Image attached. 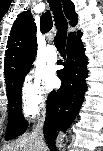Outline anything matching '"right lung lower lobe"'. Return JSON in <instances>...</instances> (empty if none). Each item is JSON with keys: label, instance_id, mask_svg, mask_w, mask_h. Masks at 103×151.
<instances>
[{"label": "right lung lower lobe", "instance_id": "98d812e1", "mask_svg": "<svg viewBox=\"0 0 103 151\" xmlns=\"http://www.w3.org/2000/svg\"><path fill=\"white\" fill-rule=\"evenodd\" d=\"M81 36L79 32L68 39L67 60L62 63L65 68L57 72L62 86L58 91H52L47 99L44 136L51 150H55L57 131L65 130L74 120L87 90V57Z\"/></svg>", "mask_w": 103, "mask_h": 151}]
</instances>
